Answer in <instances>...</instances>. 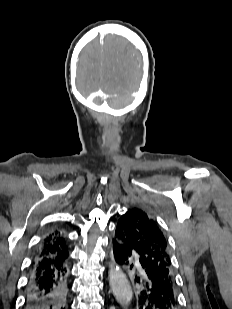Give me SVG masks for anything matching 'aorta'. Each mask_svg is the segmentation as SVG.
I'll return each mask as SVG.
<instances>
[{
	"label": "aorta",
	"instance_id": "1",
	"mask_svg": "<svg viewBox=\"0 0 232 309\" xmlns=\"http://www.w3.org/2000/svg\"><path fill=\"white\" fill-rule=\"evenodd\" d=\"M109 283L116 300L122 304L130 303L133 292L127 278L120 270L116 269L114 265L110 266Z\"/></svg>",
	"mask_w": 232,
	"mask_h": 309
}]
</instances>
